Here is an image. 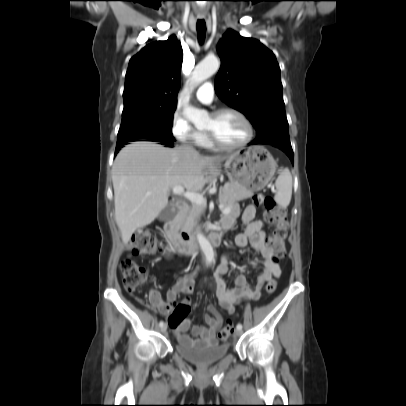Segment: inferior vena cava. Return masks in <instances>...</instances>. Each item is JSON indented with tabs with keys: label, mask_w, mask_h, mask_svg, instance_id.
Instances as JSON below:
<instances>
[{
	"label": "inferior vena cava",
	"mask_w": 406,
	"mask_h": 406,
	"mask_svg": "<svg viewBox=\"0 0 406 406\" xmlns=\"http://www.w3.org/2000/svg\"><path fill=\"white\" fill-rule=\"evenodd\" d=\"M181 148L184 149L187 152H191L193 154H198V152L193 147H191L189 145H182Z\"/></svg>",
	"instance_id": "obj_1"
}]
</instances>
